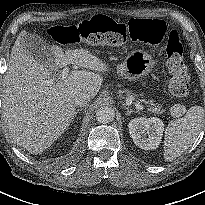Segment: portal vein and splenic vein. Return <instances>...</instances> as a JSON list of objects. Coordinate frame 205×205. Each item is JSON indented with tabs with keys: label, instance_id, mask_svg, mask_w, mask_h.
<instances>
[{
	"label": "portal vein and splenic vein",
	"instance_id": "1",
	"mask_svg": "<svg viewBox=\"0 0 205 205\" xmlns=\"http://www.w3.org/2000/svg\"><path fill=\"white\" fill-rule=\"evenodd\" d=\"M68 73H69V68H68V67H65V68L62 70V72H61V74H60V76H59V79L65 80V79L68 77ZM55 83H56L55 79H49V80L44 81V84L47 85V86L53 85V84H55ZM135 107H136V109L139 110V111H142V110H143V106H142L140 103H136V104H135Z\"/></svg>",
	"mask_w": 205,
	"mask_h": 205
}]
</instances>
